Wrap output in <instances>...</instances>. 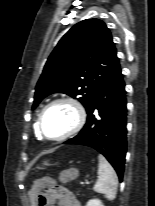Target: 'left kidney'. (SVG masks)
Here are the masks:
<instances>
[{"instance_id": "1", "label": "left kidney", "mask_w": 155, "mask_h": 206, "mask_svg": "<svg viewBox=\"0 0 155 206\" xmlns=\"http://www.w3.org/2000/svg\"><path fill=\"white\" fill-rule=\"evenodd\" d=\"M86 206H104L99 199H91L87 202Z\"/></svg>"}]
</instances>
